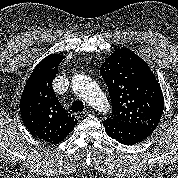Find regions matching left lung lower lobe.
<instances>
[{"label":"left lung lower lobe","mask_w":178,"mask_h":178,"mask_svg":"<svg viewBox=\"0 0 178 178\" xmlns=\"http://www.w3.org/2000/svg\"><path fill=\"white\" fill-rule=\"evenodd\" d=\"M103 125L107 135L125 145L136 144L154 131V129L145 126L116 122L110 119L103 121Z\"/></svg>","instance_id":"left-lung-lower-lobe-1"}]
</instances>
